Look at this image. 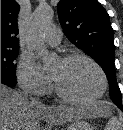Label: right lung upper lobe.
Returning <instances> with one entry per match:
<instances>
[{
    "instance_id": "1",
    "label": "right lung upper lobe",
    "mask_w": 123,
    "mask_h": 130,
    "mask_svg": "<svg viewBox=\"0 0 123 130\" xmlns=\"http://www.w3.org/2000/svg\"><path fill=\"white\" fill-rule=\"evenodd\" d=\"M20 10L15 0H1V48H19L17 16Z\"/></svg>"
}]
</instances>
